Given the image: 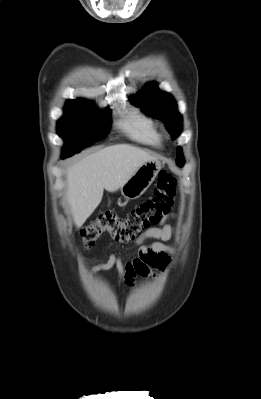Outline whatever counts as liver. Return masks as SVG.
Returning <instances> with one entry per match:
<instances>
[{"mask_svg":"<svg viewBox=\"0 0 261 399\" xmlns=\"http://www.w3.org/2000/svg\"><path fill=\"white\" fill-rule=\"evenodd\" d=\"M157 157L128 144H116L91 153L66 172L67 200L80 228L100 204L103 191L115 192L138 168Z\"/></svg>","mask_w":261,"mask_h":399,"instance_id":"obj_1","label":"liver"}]
</instances>
